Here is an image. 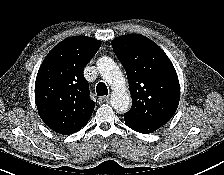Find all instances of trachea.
<instances>
[{"instance_id": "trachea-1", "label": "trachea", "mask_w": 224, "mask_h": 175, "mask_svg": "<svg viewBox=\"0 0 224 175\" xmlns=\"http://www.w3.org/2000/svg\"><path fill=\"white\" fill-rule=\"evenodd\" d=\"M96 93L98 96L108 95V89L105 83L99 82L96 87Z\"/></svg>"}]
</instances>
